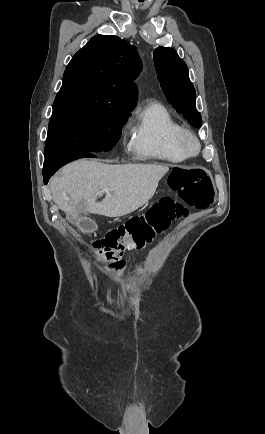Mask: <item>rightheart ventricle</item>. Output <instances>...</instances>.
Wrapping results in <instances>:
<instances>
[{"mask_svg":"<svg viewBox=\"0 0 265 434\" xmlns=\"http://www.w3.org/2000/svg\"><path fill=\"white\" fill-rule=\"evenodd\" d=\"M132 134L129 148L141 158L179 165L186 159L180 154L178 137L184 128L169 109L159 101H149L134 110L130 119Z\"/></svg>","mask_w":265,"mask_h":434,"instance_id":"obj_1","label":"right heart ventricle"}]
</instances>
